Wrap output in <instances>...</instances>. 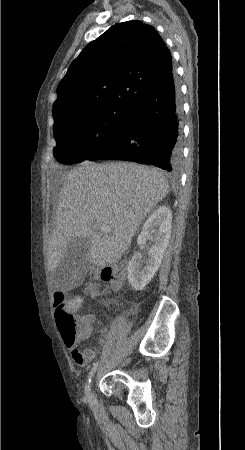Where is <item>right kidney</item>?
<instances>
[{
    "label": "right kidney",
    "mask_w": 245,
    "mask_h": 450,
    "mask_svg": "<svg viewBox=\"0 0 245 450\" xmlns=\"http://www.w3.org/2000/svg\"><path fill=\"white\" fill-rule=\"evenodd\" d=\"M172 212L170 208L161 206L155 210L143 225L137 244L143 246L148 239L153 244L148 250V258L136 252L128 264V281L132 288L140 291L151 281L160 267L163 255L171 236Z\"/></svg>",
    "instance_id": "1"
}]
</instances>
